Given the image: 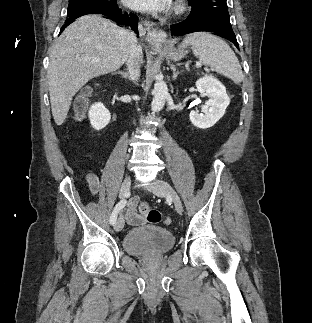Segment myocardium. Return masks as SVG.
<instances>
[{"label": "myocardium", "mask_w": 312, "mask_h": 323, "mask_svg": "<svg viewBox=\"0 0 312 323\" xmlns=\"http://www.w3.org/2000/svg\"><path fill=\"white\" fill-rule=\"evenodd\" d=\"M176 3H171L170 8L172 13H177V15H182L184 11L188 8V5L186 3V0H175Z\"/></svg>", "instance_id": "myocardium-1"}]
</instances>
